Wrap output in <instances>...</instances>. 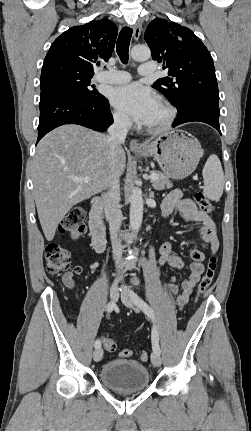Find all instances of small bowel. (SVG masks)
<instances>
[{"mask_svg":"<svg viewBox=\"0 0 251 431\" xmlns=\"http://www.w3.org/2000/svg\"><path fill=\"white\" fill-rule=\"evenodd\" d=\"M174 212H178L185 220L195 223L199 228L202 243L210 248L211 253H216L219 240L213 220L205 212L198 210L191 199L184 198L180 190L170 192L162 203L164 217H169ZM159 252V264L161 266L169 265L176 269H181L184 266L183 260L172 252V246L169 242L163 243ZM189 255L192 259L189 266V277L180 286L174 278H171L170 282L165 285L170 293L176 295L175 302L180 308L187 304L195 285L204 272L205 254L199 248L193 247L189 249Z\"/></svg>","mask_w":251,"mask_h":431,"instance_id":"obj_1","label":"small bowel"}]
</instances>
